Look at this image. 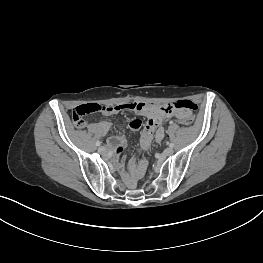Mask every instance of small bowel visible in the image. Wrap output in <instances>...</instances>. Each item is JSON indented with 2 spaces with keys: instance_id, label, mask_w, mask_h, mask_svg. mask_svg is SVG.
I'll use <instances>...</instances> for the list:
<instances>
[{
  "instance_id": "c3829d8e",
  "label": "small bowel",
  "mask_w": 263,
  "mask_h": 263,
  "mask_svg": "<svg viewBox=\"0 0 263 263\" xmlns=\"http://www.w3.org/2000/svg\"><path fill=\"white\" fill-rule=\"evenodd\" d=\"M128 110L136 113L139 116L146 118V123L143 124L141 119H134L130 121L129 127L133 132L140 130L143 127L141 135V143L144 148L151 145L153 138L157 142H162L165 137L162 124L166 119L175 117L182 118L183 120L191 113L189 105L180 104L155 105L144 102H129L114 106H105V115H112L118 112ZM85 126V122L82 127ZM81 127V128H82ZM111 124L108 121H101L97 124V129L101 135H105L110 130ZM128 141L125 137H111L106 141V148L109 152L120 156L123 148L127 145ZM147 168V161L142 160L136 171V178H140L145 174Z\"/></svg>"
}]
</instances>
